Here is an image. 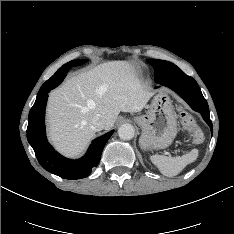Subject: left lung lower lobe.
<instances>
[{"instance_id":"left-lung-lower-lobe-1","label":"left lung lower lobe","mask_w":234,"mask_h":234,"mask_svg":"<svg viewBox=\"0 0 234 234\" xmlns=\"http://www.w3.org/2000/svg\"><path fill=\"white\" fill-rule=\"evenodd\" d=\"M158 83L176 91L193 110L202 114L203 119L213 131L207 101L203 97L197 82L192 77L183 73L179 76L163 79Z\"/></svg>"}]
</instances>
